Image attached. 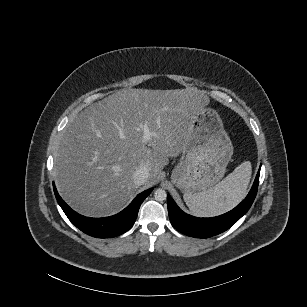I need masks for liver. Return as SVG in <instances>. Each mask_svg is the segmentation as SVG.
Listing matches in <instances>:
<instances>
[{
  "label": "liver",
  "instance_id": "liver-1",
  "mask_svg": "<svg viewBox=\"0 0 307 307\" xmlns=\"http://www.w3.org/2000/svg\"><path fill=\"white\" fill-rule=\"evenodd\" d=\"M209 102L197 88L123 89L80 112L55 154L54 177L63 199L78 213L118 212L138 188L133 173L146 164L154 181L168 157L183 150L194 115ZM157 136L143 142L140 125Z\"/></svg>",
  "mask_w": 307,
  "mask_h": 307
}]
</instances>
